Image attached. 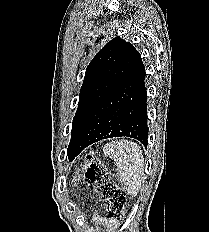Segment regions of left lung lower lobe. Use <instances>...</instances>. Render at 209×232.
Returning a JSON list of instances; mask_svg holds the SVG:
<instances>
[{"label": "left lung lower lobe", "instance_id": "1", "mask_svg": "<svg viewBox=\"0 0 209 232\" xmlns=\"http://www.w3.org/2000/svg\"><path fill=\"white\" fill-rule=\"evenodd\" d=\"M145 68L138 53L124 80L96 105L75 131L68 147L73 160L84 148L102 139L131 137L148 144Z\"/></svg>", "mask_w": 209, "mask_h": 232}]
</instances>
